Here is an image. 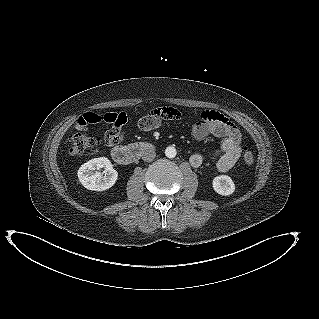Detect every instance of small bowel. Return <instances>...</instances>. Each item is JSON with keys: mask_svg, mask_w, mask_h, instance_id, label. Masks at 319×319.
Returning a JSON list of instances; mask_svg holds the SVG:
<instances>
[{"mask_svg": "<svg viewBox=\"0 0 319 319\" xmlns=\"http://www.w3.org/2000/svg\"><path fill=\"white\" fill-rule=\"evenodd\" d=\"M182 118V113L173 107H157L150 110L138 121V126L143 131H150L158 128L162 121H177ZM102 121V117L96 113H85L77 123V129L83 130L89 124ZM191 135L202 140L209 135H214L221 139L220 146L215 155L218 156L216 162L217 169L226 172L231 169L241 155V132L238 127L226 116L215 111H205L200 120L191 125ZM125 138V133L120 127L114 126L104 135V141L108 146L119 144ZM207 160V155L195 153L191 155L190 164L198 168Z\"/></svg>", "mask_w": 319, "mask_h": 319, "instance_id": "obj_1", "label": "small bowel"}]
</instances>
